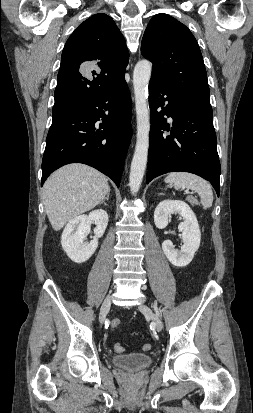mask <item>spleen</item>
<instances>
[{
  "label": "spleen",
  "instance_id": "obj_1",
  "mask_svg": "<svg viewBox=\"0 0 253 413\" xmlns=\"http://www.w3.org/2000/svg\"><path fill=\"white\" fill-rule=\"evenodd\" d=\"M165 182L173 185L176 190L190 189L198 193L204 209L212 206L213 192L210 184L203 178L187 172H172L165 178Z\"/></svg>",
  "mask_w": 253,
  "mask_h": 413
}]
</instances>
